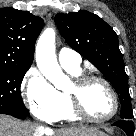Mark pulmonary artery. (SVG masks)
<instances>
[{"mask_svg": "<svg viewBox=\"0 0 136 136\" xmlns=\"http://www.w3.org/2000/svg\"><path fill=\"white\" fill-rule=\"evenodd\" d=\"M58 60L62 67L74 70L80 69L81 57L80 55L69 48H62L58 52Z\"/></svg>", "mask_w": 136, "mask_h": 136, "instance_id": "1", "label": "pulmonary artery"}]
</instances>
